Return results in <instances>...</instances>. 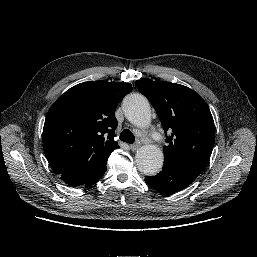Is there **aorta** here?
I'll return each instance as SVG.
<instances>
[{
    "label": "aorta",
    "instance_id": "1",
    "mask_svg": "<svg viewBox=\"0 0 257 257\" xmlns=\"http://www.w3.org/2000/svg\"><path fill=\"white\" fill-rule=\"evenodd\" d=\"M125 117L137 127H148L151 123V107L148 100L140 94H132L123 102ZM164 155L155 145H144L135 155L137 168L144 175L154 176L162 168Z\"/></svg>",
    "mask_w": 257,
    "mask_h": 257
}]
</instances>
